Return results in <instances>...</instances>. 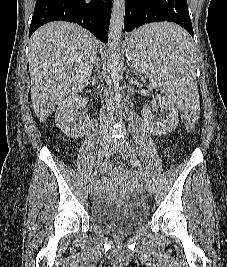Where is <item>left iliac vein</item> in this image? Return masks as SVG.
<instances>
[{
	"label": "left iliac vein",
	"instance_id": "obj_1",
	"mask_svg": "<svg viewBox=\"0 0 227 267\" xmlns=\"http://www.w3.org/2000/svg\"><path fill=\"white\" fill-rule=\"evenodd\" d=\"M113 147L117 150V152L121 156H123L124 158H128L134 165L138 167L140 171H142L141 165L135 153L134 147L131 144H129L125 140H121L118 142V144H113ZM142 180H143L144 188L146 189L148 193L151 194L153 191L151 181L146 177L145 174H142Z\"/></svg>",
	"mask_w": 227,
	"mask_h": 267
}]
</instances>
